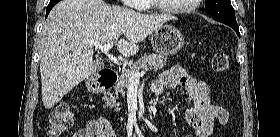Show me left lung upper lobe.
Returning <instances> with one entry per match:
<instances>
[{"label": "left lung upper lobe", "instance_id": "left-lung-upper-lobe-1", "mask_svg": "<svg viewBox=\"0 0 280 137\" xmlns=\"http://www.w3.org/2000/svg\"><path fill=\"white\" fill-rule=\"evenodd\" d=\"M201 10L207 12L216 21L237 24L230 0H206L205 8Z\"/></svg>", "mask_w": 280, "mask_h": 137}]
</instances>
